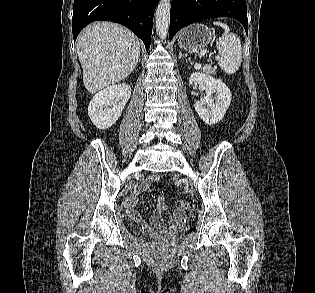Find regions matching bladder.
I'll return each mask as SVG.
<instances>
[{"instance_id": "1", "label": "bladder", "mask_w": 315, "mask_h": 293, "mask_svg": "<svg viewBox=\"0 0 315 293\" xmlns=\"http://www.w3.org/2000/svg\"><path fill=\"white\" fill-rule=\"evenodd\" d=\"M147 233H149V234H156L157 231H155V230H147Z\"/></svg>"}]
</instances>
